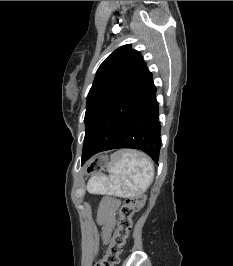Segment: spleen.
<instances>
[{
    "label": "spleen",
    "mask_w": 233,
    "mask_h": 266,
    "mask_svg": "<svg viewBox=\"0 0 233 266\" xmlns=\"http://www.w3.org/2000/svg\"><path fill=\"white\" fill-rule=\"evenodd\" d=\"M110 175L90 178L87 189L93 194L133 197L144 193L154 178V167L143 154L120 150L107 164Z\"/></svg>",
    "instance_id": "1"
}]
</instances>
